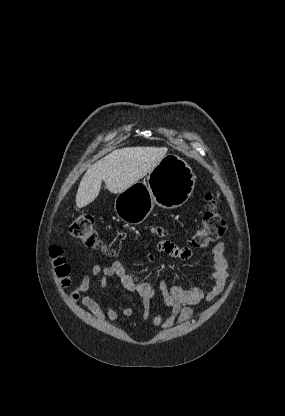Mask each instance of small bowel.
<instances>
[{
  "label": "small bowel",
  "instance_id": "small-bowel-1",
  "mask_svg": "<svg viewBox=\"0 0 285 416\" xmlns=\"http://www.w3.org/2000/svg\"><path fill=\"white\" fill-rule=\"evenodd\" d=\"M151 231L159 237V240L153 244L157 251L181 260H187L193 255L192 247H181L168 240L167 237L171 233L167 229L154 227ZM212 253L213 269L201 276L197 282L188 286L169 284L162 280L158 287H155L145 278L129 272L121 261H115L104 268L95 264L91 272L82 277L80 283L70 294V300L72 302L81 301L83 307L100 321L115 322L119 318V312L109 304L102 307L93 297L88 295V292L95 287L96 283L101 289H105L110 279L118 278L124 289L139 297L143 305L142 320L144 322L149 320L152 302L160 299L166 311L156 314L151 319V325L161 329H169L174 325L191 320L194 316L192 309L194 305L212 302L223 292L229 276L225 244L223 242L217 243L213 247ZM201 282H212L214 286L206 292L201 288ZM121 313L130 317L133 310L129 306H123Z\"/></svg>",
  "mask_w": 285,
  "mask_h": 416
}]
</instances>
